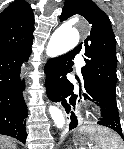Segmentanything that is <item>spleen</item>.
I'll list each match as a JSON object with an SVG mask.
<instances>
[{"label": "spleen", "instance_id": "obj_1", "mask_svg": "<svg viewBox=\"0 0 124 149\" xmlns=\"http://www.w3.org/2000/svg\"><path fill=\"white\" fill-rule=\"evenodd\" d=\"M96 141L99 143L101 149H120V139L118 136L97 135Z\"/></svg>", "mask_w": 124, "mask_h": 149}]
</instances>
